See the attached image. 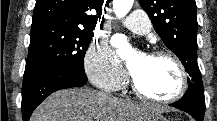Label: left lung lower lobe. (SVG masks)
Wrapping results in <instances>:
<instances>
[{
  "instance_id": "left-lung-lower-lobe-1",
  "label": "left lung lower lobe",
  "mask_w": 217,
  "mask_h": 121,
  "mask_svg": "<svg viewBox=\"0 0 217 121\" xmlns=\"http://www.w3.org/2000/svg\"><path fill=\"white\" fill-rule=\"evenodd\" d=\"M171 106L189 113L196 121H203L205 113V102H203L198 92L193 88H188L184 96Z\"/></svg>"
}]
</instances>
